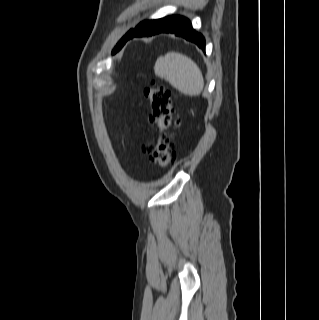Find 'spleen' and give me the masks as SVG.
Listing matches in <instances>:
<instances>
[{
	"label": "spleen",
	"instance_id": "spleen-1",
	"mask_svg": "<svg viewBox=\"0 0 319 320\" xmlns=\"http://www.w3.org/2000/svg\"><path fill=\"white\" fill-rule=\"evenodd\" d=\"M154 72L184 95L197 96L203 90L204 79L201 70L192 59L181 53L168 52L159 57Z\"/></svg>",
	"mask_w": 319,
	"mask_h": 320
}]
</instances>
